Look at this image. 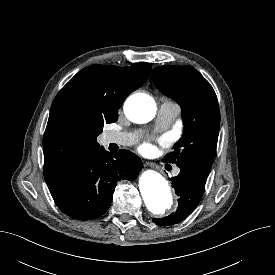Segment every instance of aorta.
Instances as JSON below:
<instances>
[{
    "label": "aorta",
    "mask_w": 275,
    "mask_h": 275,
    "mask_svg": "<svg viewBox=\"0 0 275 275\" xmlns=\"http://www.w3.org/2000/svg\"><path fill=\"white\" fill-rule=\"evenodd\" d=\"M124 112L132 122L147 123L155 116L156 103L151 96L137 93L126 100ZM139 189L151 213L162 215L173 206L174 196L168 181L160 173L144 171L139 178Z\"/></svg>",
    "instance_id": "762f6f07"
}]
</instances>
